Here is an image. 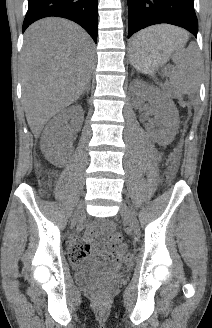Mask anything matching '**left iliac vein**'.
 <instances>
[{
  "label": "left iliac vein",
  "mask_w": 212,
  "mask_h": 328,
  "mask_svg": "<svg viewBox=\"0 0 212 328\" xmlns=\"http://www.w3.org/2000/svg\"><path fill=\"white\" fill-rule=\"evenodd\" d=\"M120 213H121L123 219L129 224L131 229L135 233H137L139 230V224H138V220H137L134 212L132 211V209L128 205L123 203L120 208Z\"/></svg>",
  "instance_id": "1"
}]
</instances>
